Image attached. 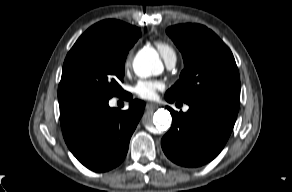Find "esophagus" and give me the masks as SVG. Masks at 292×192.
<instances>
[{
    "instance_id": "1",
    "label": "esophagus",
    "mask_w": 292,
    "mask_h": 192,
    "mask_svg": "<svg viewBox=\"0 0 292 192\" xmlns=\"http://www.w3.org/2000/svg\"><path fill=\"white\" fill-rule=\"evenodd\" d=\"M157 107H158V105L156 103L149 102V103L146 104V109L147 110L155 109Z\"/></svg>"
}]
</instances>
